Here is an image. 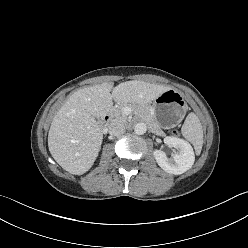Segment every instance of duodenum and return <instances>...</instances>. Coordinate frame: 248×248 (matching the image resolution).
<instances>
[{"label": "duodenum", "mask_w": 248, "mask_h": 248, "mask_svg": "<svg viewBox=\"0 0 248 248\" xmlns=\"http://www.w3.org/2000/svg\"><path fill=\"white\" fill-rule=\"evenodd\" d=\"M111 120V114L110 113H106L103 118H102V122L104 124H108Z\"/></svg>", "instance_id": "410a0bca"}]
</instances>
